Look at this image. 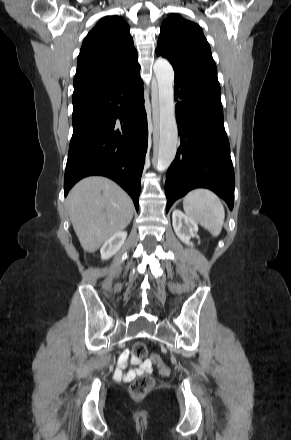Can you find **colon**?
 <instances>
[{
    "mask_svg": "<svg viewBox=\"0 0 291 440\" xmlns=\"http://www.w3.org/2000/svg\"><path fill=\"white\" fill-rule=\"evenodd\" d=\"M133 354L136 359H144L148 356V349L143 342H136L133 345ZM161 374L169 372V367L157 356L152 357ZM153 387V381L145 376H141L134 380L129 388L130 394L135 398H142L146 396Z\"/></svg>",
    "mask_w": 291,
    "mask_h": 440,
    "instance_id": "obj_1",
    "label": "colon"
}]
</instances>
